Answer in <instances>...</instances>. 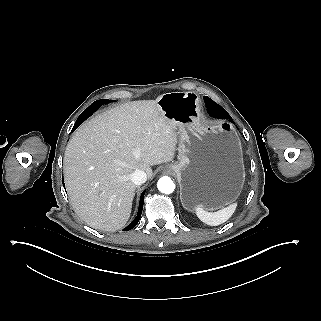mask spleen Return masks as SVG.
Instances as JSON below:
<instances>
[{
  "instance_id": "3e777b00",
  "label": "spleen",
  "mask_w": 321,
  "mask_h": 321,
  "mask_svg": "<svg viewBox=\"0 0 321 321\" xmlns=\"http://www.w3.org/2000/svg\"><path fill=\"white\" fill-rule=\"evenodd\" d=\"M237 208V203H232L227 207L218 210L216 212L205 211L200 206L196 207L197 217L205 224L209 226H218L226 222L235 212Z\"/></svg>"
}]
</instances>
